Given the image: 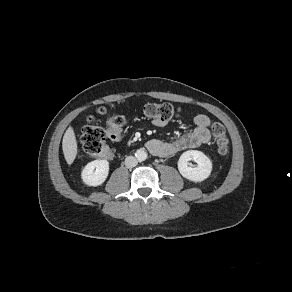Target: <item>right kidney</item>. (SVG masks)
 Wrapping results in <instances>:
<instances>
[{
  "mask_svg": "<svg viewBox=\"0 0 292 292\" xmlns=\"http://www.w3.org/2000/svg\"><path fill=\"white\" fill-rule=\"evenodd\" d=\"M109 173L107 160H94L89 162L81 172L82 181L88 186L102 185Z\"/></svg>",
  "mask_w": 292,
  "mask_h": 292,
  "instance_id": "right-kidney-1",
  "label": "right kidney"
}]
</instances>
